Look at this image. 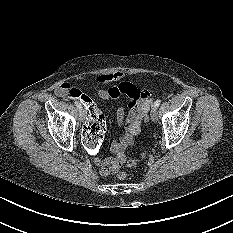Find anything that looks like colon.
<instances>
[{"instance_id": "5ec220e1", "label": "colon", "mask_w": 233, "mask_h": 233, "mask_svg": "<svg viewBox=\"0 0 233 233\" xmlns=\"http://www.w3.org/2000/svg\"><path fill=\"white\" fill-rule=\"evenodd\" d=\"M64 97L67 100H73L79 105L86 107L88 112V122L84 126V146L88 153L95 156L100 151V146L104 137L106 130V120L104 115L99 111V109L91 101L90 96L81 91L75 89H67L64 92ZM144 122L148 121V114L145 113L142 117ZM145 157V153H142L139 158L127 160L124 154L117 155V161L121 165H125L129 168L135 167L140 160ZM127 177V173L120 172L118 178L123 180Z\"/></svg>"}]
</instances>
